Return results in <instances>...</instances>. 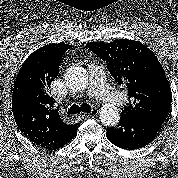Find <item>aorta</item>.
Here are the masks:
<instances>
[{
    "instance_id": "762f6f07",
    "label": "aorta",
    "mask_w": 178,
    "mask_h": 178,
    "mask_svg": "<svg viewBox=\"0 0 178 178\" xmlns=\"http://www.w3.org/2000/svg\"><path fill=\"white\" fill-rule=\"evenodd\" d=\"M65 81L73 91H83L88 84L86 70L79 66L69 68L65 74ZM99 116L101 122L106 126H115L120 119L119 111L113 105H104Z\"/></svg>"
}]
</instances>
